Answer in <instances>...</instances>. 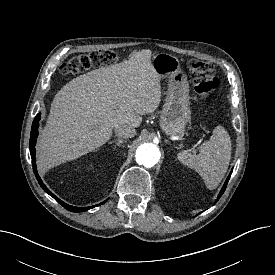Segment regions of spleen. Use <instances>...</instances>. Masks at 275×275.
Returning <instances> with one entry per match:
<instances>
[{
  "label": "spleen",
  "mask_w": 275,
  "mask_h": 275,
  "mask_svg": "<svg viewBox=\"0 0 275 275\" xmlns=\"http://www.w3.org/2000/svg\"><path fill=\"white\" fill-rule=\"evenodd\" d=\"M199 149V154L183 150L178 153L177 158L183 165L198 172L207 188L215 189L227 172L231 159L230 136L223 127L217 126L210 139Z\"/></svg>",
  "instance_id": "3e777b00"
}]
</instances>
